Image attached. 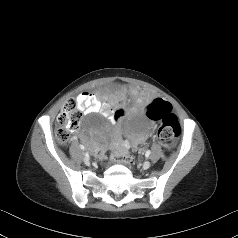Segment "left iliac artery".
Here are the masks:
<instances>
[{
  "label": "left iliac artery",
  "instance_id": "left-iliac-artery-1",
  "mask_svg": "<svg viewBox=\"0 0 238 238\" xmlns=\"http://www.w3.org/2000/svg\"><path fill=\"white\" fill-rule=\"evenodd\" d=\"M150 154H151L150 150H147L146 153H145L146 157H148Z\"/></svg>",
  "mask_w": 238,
  "mask_h": 238
}]
</instances>
